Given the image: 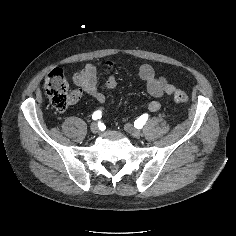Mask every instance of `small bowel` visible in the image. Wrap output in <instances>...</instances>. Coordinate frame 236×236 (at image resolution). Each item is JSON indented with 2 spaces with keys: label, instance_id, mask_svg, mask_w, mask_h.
<instances>
[{
  "label": "small bowel",
  "instance_id": "1",
  "mask_svg": "<svg viewBox=\"0 0 236 236\" xmlns=\"http://www.w3.org/2000/svg\"><path fill=\"white\" fill-rule=\"evenodd\" d=\"M110 65H112L110 63ZM135 68L139 77L145 82L148 93L154 98L148 104V109L156 112L160 109V103L157 99L165 95H171L175 91V87L161 75H157L148 64L137 63ZM73 83L78 87L71 93V103H76L83 94H86L98 103L105 102V96L97 88L98 70L93 64L85 65L80 71L72 76ZM116 86L114 75H110L106 82V89L112 90Z\"/></svg>",
  "mask_w": 236,
  "mask_h": 236
}]
</instances>
